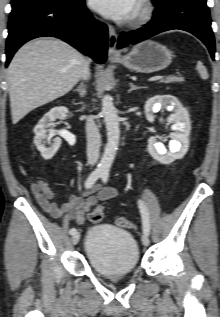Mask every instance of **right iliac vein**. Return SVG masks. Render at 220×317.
Here are the masks:
<instances>
[{
    "mask_svg": "<svg viewBox=\"0 0 220 317\" xmlns=\"http://www.w3.org/2000/svg\"><path fill=\"white\" fill-rule=\"evenodd\" d=\"M79 240H80V233L76 232L71 239L72 244L76 245L79 242Z\"/></svg>",
    "mask_w": 220,
    "mask_h": 317,
    "instance_id": "63e3f726",
    "label": "right iliac vein"
}]
</instances>
